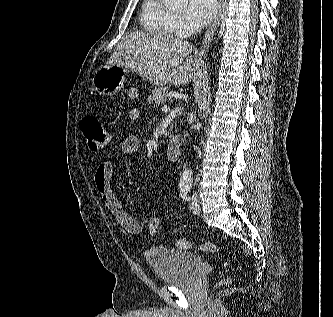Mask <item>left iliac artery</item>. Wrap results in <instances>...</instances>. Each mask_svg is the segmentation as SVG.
I'll return each instance as SVG.
<instances>
[{"label": "left iliac artery", "mask_w": 333, "mask_h": 317, "mask_svg": "<svg viewBox=\"0 0 333 317\" xmlns=\"http://www.w3.org/2000/svg\"><path fill=\"white\" fill-rule=\"evenodd\" d=\"M190 190V186H184V187H181V190H180V196L185 199V200H189V196H188V191Z\"/></svg>", "instance_id": "1"}]
</instances>
